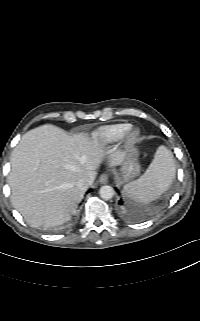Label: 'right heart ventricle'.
Here are the masks:
<instances>
[{
  "label": "right heart ventricle",
  "mask_w": 200,
  "mask_h": 321,
  "mask_svg": "<svg viewBox=\"0 0 200 321\" xmlns=\"http://www.w3.org/2000/svg\"><path fill=\"white\" fill-rule=\"evenodd\" d=\"M131 128L129 123H115L105 125L93 132V140L97 143L110 144L120 140Z\"/></svg>",
  "instance_id": "1"
}]
</instances>
